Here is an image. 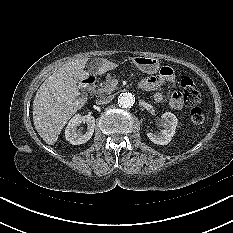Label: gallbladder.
<instances>
[{
	"mask_svg": "<svg viewBox=\"0 0 233 233\" xmlns=\"http://www.w3.org/2000/svg\"><path fill=\"white\" fill-rule=\"evenodd\" d=\"M97 60H99V59L95 58V59H93V60L88 64V68H90V70L93 69L94 64L96 63Z\"/></svg>",
	"mask_w": 233,
	"mask_h": 233,
	"instance_id": "gallbladder-1",
	"label": "gallbladder"
}]
</instances>
